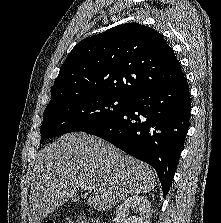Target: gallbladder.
<instances>
[{
    "label": "gallbladder",
    "mask_w": 221,
    "mask_h": 223,
    "mask_svg": "<svg viewBox=\"0 0 221 223\" xmlns=\"http://www.w3.org/2000/svg\"><path fill=\"white\" fill-rule=\"evenodd\" d=\"M77 201H78V197H74L73 202H77Z\"/></svg>",
    "instance_id": "1"
}]
</instances>
